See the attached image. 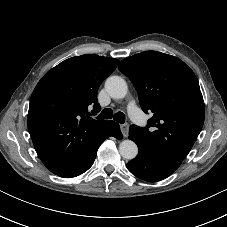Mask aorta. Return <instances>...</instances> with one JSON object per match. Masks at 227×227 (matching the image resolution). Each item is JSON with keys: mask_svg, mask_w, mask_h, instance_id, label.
<instances>
[{"mask_svg": "<svg viewBox=\"0 0 227 227\" xmlns=\"http://www.w3.org/2000/svg\"><path fill=\"white\" fill-rule=\"evenodd\" d=\"M105 89L114 99H122L128 92L126 81L119 76L109 77L105 82ZM119 152L124 159L131 160L137 156L138 147L134 141L126 139L120 143Z\"/></svg>", "mask_w": 227, "mask_h": 227, "instance_id": "1", "label": "aorta"}]
</instances>
